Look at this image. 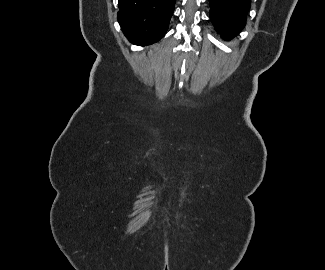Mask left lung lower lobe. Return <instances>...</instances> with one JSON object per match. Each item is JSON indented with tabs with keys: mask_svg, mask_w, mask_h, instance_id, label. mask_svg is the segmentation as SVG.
Masks as SVG:
<instances>
[{
	"mask_svg": "<svg viewBox=\"0 0 325 270\" xmlns=\"http://www.w3.org/2000/svg\"><path fill=\"white\" fill-rule=\"evenodd\" d=\"M210 18L222 38L230 40L246 24V15L251 0H209Z\"/></svg>",
	"mask_w": 325,
	"mask_h": 270,
	"instance_id": "1",
	"label": "left lung lower lobe"
}]
</instances>
